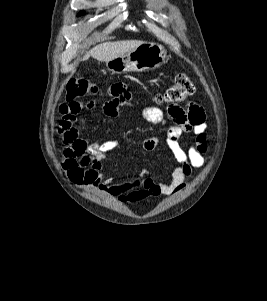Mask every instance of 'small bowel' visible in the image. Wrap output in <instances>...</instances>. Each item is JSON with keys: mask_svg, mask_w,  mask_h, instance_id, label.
<instances>
[{"mask_svg": "<svg viewBox=\"0 0 267 301\" xmlns=\"http://www.w3.org/2000/svg\"><path fill=\"white\" fill-rule=\"evenodd\" d=\"M108 94L111 99L104 103L102 110L106 117L113 118L118 115L120 107L131 99V93L124 84L117 83L110 87ZM94 105V101L84 103L75 99L62 103L59 109L61 120L58 133L64 143L62 166L69 179L77 186L99 190L123 203H138L178 192L185 187L193 170L204 166L207 125L202 108L192 103L187 108L169 105L166 116L159 108L146 107L142 111V117L146 121L153 124L172 121L166 135V143L176 162L171 179L169 182L155 181L146 172H141L134 179L114 182L104 176L102 168L104 159L116 148L118 142H88L79 136L77 117L82 109H92ZM184 134H191L194 138V142L187 147L180 144V138ZM158 143L157 137L147 138L143 142V149L152 151Z\"/></svg>", "mask_w": 267, "mask_h": 301, "instance_id": "1", "label": "small bowel"}]
</instances>
